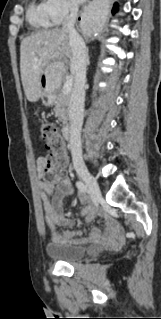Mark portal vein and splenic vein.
Returning a JSON list of instances; mask_svg holds the SVG:
<instances>
[{"label": "portal vein and splenic vein", "instance_id": "portal-vein-and-splenic-vein-1", "mask_svg": "<svg viewBox=\"0 0 161 319\" xmlns=\"http://www.w3.org/2000/svg\"><path fill=\"white\" fill-rule=\"evenodd\" d=\"M72 88V80L69 79L65 82L64 86H63V93L65 95L69 94Z\"/></svg>", "mask_w": 161, "mask_h": 319}]
</instances>
